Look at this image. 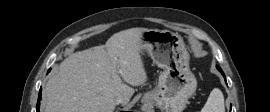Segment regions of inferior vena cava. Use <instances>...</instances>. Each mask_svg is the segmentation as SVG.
<instances>
[{"mask_svg": "<svg viewBox=\"0 0 270 112\" xmlns=\"http://www.w3.org/2000/svg\"><path fill=\"white\" fill-rule=\"evenodd\" d=\"M126 103V98L121 96V95H118L115 97V104H125Z\"/></svg>", "mask_w": 270, "mask_h": 112, "instance_id": "obj_1", "label": "inferior vena cava"}]
</instances>
